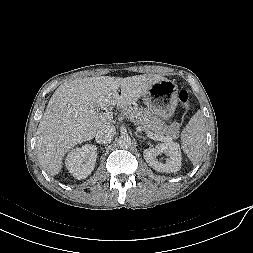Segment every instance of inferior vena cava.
Returning a JSON list of instances; mask_svg holds the SVG:
<instances>
[{
    "mask_svg": "<svg viewBox=\"0 0 253 253\" xmlns=\"http://www.w3.org/2000/svg\"><path fill=\"white\" fill-rule=\"evenodd\" d=\"M115 134H116L115 126L111 124L103 125L96 132L95 140L97 143L107 144L113 139Z\"/></svg>",
    "mask_w": 253,
    "mask_h": 253,
    "instance_id": "602c4592",
    "label": "inferior vena cava"
}]
</instances>
